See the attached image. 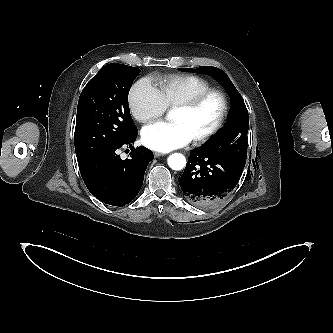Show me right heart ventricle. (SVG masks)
I'll return each instance as SVG.
<instances>
[{"mask_svg":"<svg viewBox=\"0 0 333 333\" xmlns=\"http://www.w3.org/2000/svg\"><path fill=\"white\" fill-rule=\"evenodd\" d=\"M211 88L207 80L196 75H169L158 81L157 89L166 107L174 108Z\"/></svg>","mask_w":333,"mask_h":333,"instance_id":"e07e8e85","label":"right heart ventricle"}]
</instances>
